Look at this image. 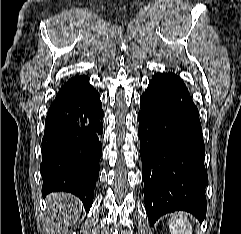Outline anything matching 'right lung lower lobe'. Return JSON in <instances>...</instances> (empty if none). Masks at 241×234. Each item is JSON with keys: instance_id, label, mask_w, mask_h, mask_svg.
Segmentation results:
<instances>
[{"instance_id": "right-lung-lower-lobe-1", "label": "right lung lower lobe", "mask_w": 241, "mask_h": 234, "mask_svg": "<svg viewBox=\"0 0 241 234\" xmlns=\"http://www.w3.org/2000/svg\"><path fill=\"white\" fill-rule=\"evenodd\" d=\"M99 93L85 75L66 82L51 104L42 139V194L67 191L89 210L99 175L103 133Z\"/></svg>"}]
</instances>
